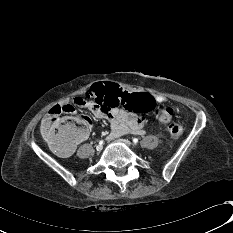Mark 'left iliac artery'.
<instances>
[{"label":"left iliac artery","mask_w":233,"mask_h":233,"mask_svg":"<svg viewBox=\"0 0 233 233\" xmlns=\"http://www.w3.org/2000/svg\"><path fill=\"white\" fill-rule=\"evenodd\" d=\"M132 141H133V143H135V144L138 143V139H137V138H133Z\"/></svg>","instance_id":"1"}]
</instances>
